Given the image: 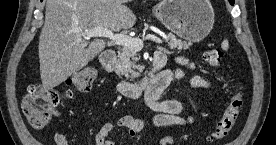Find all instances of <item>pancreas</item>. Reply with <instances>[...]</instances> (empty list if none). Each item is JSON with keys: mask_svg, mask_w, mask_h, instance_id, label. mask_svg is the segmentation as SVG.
Returning a JSON list of instances; mask_svg holds the SVG:
<instances>
[{"mask_svg": "<svg viewBox=\"0 0 276 145\" xmlns=\"http://www.w3.org/2000/svg\"><path fill=\"white\" fill-rule=\"evenodd\" d=\"M167 43L170 49H176L179 51L182 49H188L191 45L190 43L177 39L172 34H168ZM118 58L119 59L116 65V72L118 74L123 75L127 80H133L140 76L143 67L137 64L139 58L135 49L123 47L118 53Z\"/></svg>", "mask_w": 276, "mask_h": 145, "instance_id": "obj_1", "label": "pancreas"}]
</instances>
